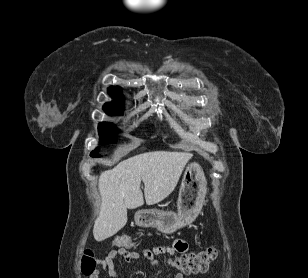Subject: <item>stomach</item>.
<instances>
[{
	"label": "stomach",
	"instance_id": "obj_1",
	"mask_svg": "<svg viewBox=\"0 0 308 278\" xmlns=\"http://www.w3.org/2000/svg\"><path fill=\"white\" fill-rule=\"evenodd\" d=\"M207 194V180L198 163H190L183 174L177 201V213L157 209L140 210L135 222L141 227H152L164 234L191 224L199 215Z\"/></svg>",
	"mask_w": 308,
	"mask_h": 278
}]
</instances>
